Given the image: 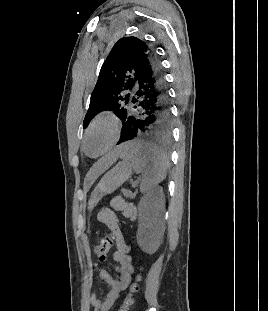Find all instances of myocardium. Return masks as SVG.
Masks as SVG:
<instances>
[{"label": "myocardium", "instance_id": "1", "mask_svg": "<svg viewBox=\"0 0 268 311\" xmlns=\"http://www.w3.org/2000/svg\"><path fill=\"white\" fill-rule=\"evenodd\" d=\"M101 124L109 125V127L111 128V137H110L108 143L106 144V146L104 147V149L100 153H98L96 155H92L87 151L86 142H87V139H88L89 135L91 134V132ZM120 131H121V124H120V121L116 115H114L113 113H110V112L99 114L90 122V124L88 125V127L84 133V136L82 139L83 150L85 151L86 154H88L89 156H92V157H99V156L104 155L117 142V140L120 136Z\"/></svg>", "mask_w": 268, "mask_h": 311}]
</instances>
